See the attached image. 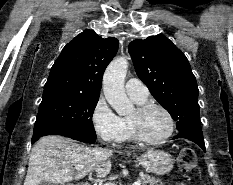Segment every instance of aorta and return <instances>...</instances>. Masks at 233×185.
I'll return each instance as SVG.
<instances>
[{
	"label": "aorta",
	"instance_id": "aorta-1",
	"mask_svg": "<svg viewBox=\"0 0 233 185\" xmlns=\"http://www.w3.org/2000/svg\"><path fill=\"white\" fill-rule=\"evenodd\" d=\"M127 69V59L119 57L109 64L103 76L104 95L119 116L128 115L133 111V104L124 89Z\"/></svg>",
	"mask_w": 233,
	"mask_h": 185
}]
</instances>
